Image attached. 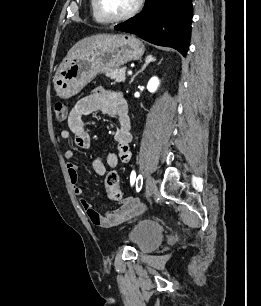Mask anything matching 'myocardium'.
Listing matches in <instances>:
<instances>
[{
  "instance_id": "f54148a6",
  "label": "myocardium",
  "mask_w": 261,
  "mask_h": 306,
  "mask_svg": "<svg viewBox=\"0 0 261 306\" xmlns=\"http://www.w3.org/2000/svg\"><path fill=\"white\" fill-rule=\"evenodd\" d=\"M144 0H136L135 5L131 10H129L127 13L119 16H113L108 14L102 4V0H95V7L98 12V14L106 21V22H121L128 20L135 16L140 9L142 8Z\"/></svg>"
}]
</instances>
